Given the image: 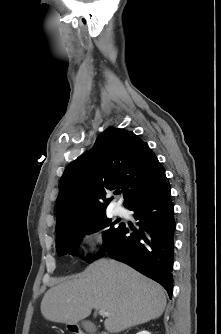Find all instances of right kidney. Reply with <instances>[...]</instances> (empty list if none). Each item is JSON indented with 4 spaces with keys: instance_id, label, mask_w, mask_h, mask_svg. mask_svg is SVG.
Returning <instances> with one entry per match:
<instances>
[{
    "instance_id": "right-kidney-1",
    "label": "right kidney",
    "mask_w": 221,
    "mask_h": 334,
    "mask_svg": "<svg viewBox=\"0 0 221 334\" xmlns=\"http://www.w3.org/2000/svg\"><path fill=\"white\" fill-rule=\"evenodd\" d=\"M136 334H151V333L148 332V331H146V330H143V331H140V332H138V333H136Z\"/></svg>"
}]
</instances>
